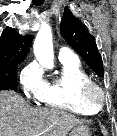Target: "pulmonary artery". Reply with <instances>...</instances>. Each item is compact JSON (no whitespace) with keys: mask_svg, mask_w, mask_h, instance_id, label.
<instances>
[{"mask_svg":"<svg viewBox=\"0 0 117 136\" xmlns=\"http://www.w3.org/2000/svg\"><path fill=\"white\" fill-rule=\"evenodd\" d=\"M58 58L60 61L78 60V57L66 46L59 48Z\"/></svg>","mask_w":117,"mask_h":136,"instance_id":"e3ab8cb5","label":"pulmonary artery"}]
</instances>
